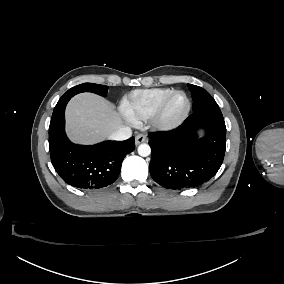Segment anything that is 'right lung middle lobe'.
I'll list each match as a JSON object with an SVG mask.
<instances>
[{
	"mask_svg": "<svg viewBox=\"0 0 284 284\" xmlns=\"http://www.w3.org/2000/svg\"><path fill=\"white\" fill-rule=\"evenodd\" d=\"M108 87L105 85L83 83L69 89L60 99L71 98L81 92H93L101 96L107 95Z\"/></svg>",
	"mask_w": 284,
	"mask_h": 284,
	"instance_id": "obj_1",
	"label": "right lung middle lobe"
}]
</instances>
